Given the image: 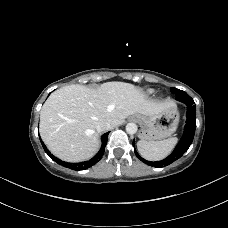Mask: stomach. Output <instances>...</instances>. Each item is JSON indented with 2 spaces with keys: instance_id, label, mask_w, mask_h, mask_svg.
<instances>
[{
  "instance_id": "obj_1",
  "label": "stomach",
  "mask_w": 228,
  "mask_h": 228,
  "mask_svg": "<svg viewBox=\"0 0 228 228\" xmlns=\"http://www.w3.org/2000/svg\"><path fill=\"white\" fill-rule=\"evenodd\" d=\"M134 118L142 127L139 137L146 141H158L170 137L179 123V113L174 104L158 114L152 116L135 114Z\"/></svg>"
}]
</instances>
